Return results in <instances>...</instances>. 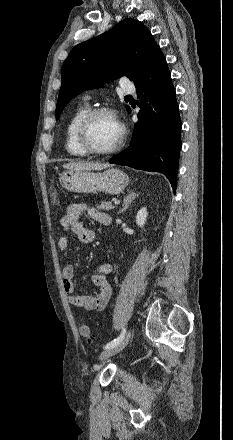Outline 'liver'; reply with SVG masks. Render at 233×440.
<instances>
[{"label": "liver", "instance_id": "1", "mask_svg": "<svg viewBox=\"0 0 233 440\" xmlns=\"http://www.w3.org/2000/svg\"><path fill=\"white\" fill-rule=\"evenodd\" d=\"M109 164L93 163V162H72L63 165V168L69 171L77 170H102L109 167Z\"/></svg>", "mask_w": 233, "mask_h": 440}]
</instances>
